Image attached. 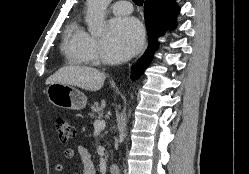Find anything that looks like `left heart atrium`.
<instances>
[{
  "label": "left heart atrium",
  "instance_id": "obj_1",
  "mask_svg": "<svg viewBox=\"0 0 249 174\" xmlns=\"http://www.w3.org/2000/svg\"><path fill=\"white\" fill-rule=\"evenodd\" d=\"M144 31L132 17H118L108 23L103 41V55L112 62H121L134 55L142 46Z\"/></svg>",
  "mask_w": 249,
  "mask_h": 174
}]
</instances>
